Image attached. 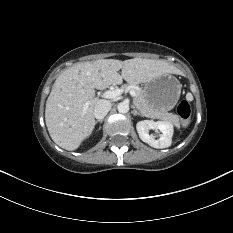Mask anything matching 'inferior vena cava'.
<instances>
[{"instance_id":"1","label":"inferior vena cava","mask_w":233,"mask_h":233,"mask_svg":"<svg viewBox=\"0 0 233 233\" xmlns=\"http://www.w3.org/2000/svg\"><path fill=\"white\" fill-rule=\"evenodd\" d=\"M111 109V103L107 100H99L94 108V117L102 120Z\"/></svg>"}]
</instances>
